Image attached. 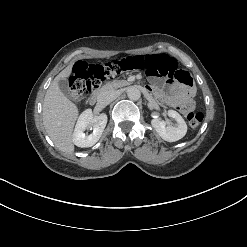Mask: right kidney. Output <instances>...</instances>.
<instances>
[{
  "label": "right kidney",
  "instance_id": "ca27d5eb",
  "mask_svg": "<svg viewBox=\"0 0 247 247\" xmlns=\"http://www.w3.org/2000/svg\"><path fill=\"white\" fill-rule=\"evenodd\" d=\"M107 124V115L105 113L94 116L91 109L85 110L78 118L73 133V143L81 148L93 146L101 137ZM93 127L90 135L85 133L86 129Z\"/></svg>",
  "mask_w": 247,
  "mask_h": 247
}]
</instances>
